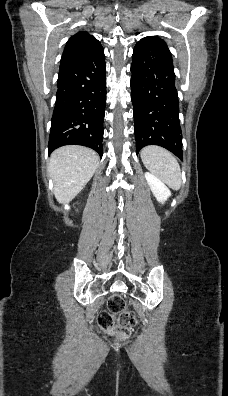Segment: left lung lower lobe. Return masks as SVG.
Instances as JSON below:
<instances>
[{"instance_id": "left-lung-lower-lobe-1", "label": "left lung lower lobe", "mask_w": 228, "mask_h": 396, "mask_svg": "<svg viewBox=\"0 0 228 396\" xmlns=\"http://www.w3.org/2000/svg\"><path fill=\"white\" fill-rule=\"evenodd\" d=\"M136 152L147 145L162 146L183 158L179 102L171 53L166 44L142 39L131 64Z\"/></svg>"}]
</instances>
